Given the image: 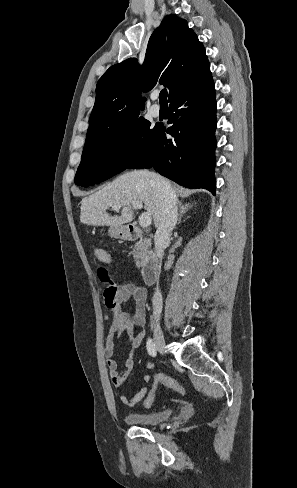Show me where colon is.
<instances>
[{
	"instance_id": "1",
	"label": "colon",
	"mask_w": 297,
	"mask_h": 488,
	"mask_svg": "<svg viewBox=\"0 0 297 488\" xmlns=\"http://www.w3.org/2000/svg\"><path fill=\"white\" fill-rule=\"evenodd\" d=\"M95 257L101 261L104 259L107 254L105 253V250H102L100 248L95 249L94 251ZM98 275L100 280L106 284V288L104 291V297H105V302L106 305L111 308L115 309L116 306V296H117V285L112 281L110 278V275L108 271L104 267H100L98 269ZM164 384L168 388L174 390L175 392L184 395L185 394V388L178 383L177 381L172 379V376L170 374H167L165 370H160L158 372V375L153 376V384H152V389L147 392V397L144 401V406L146 408H150L155 400V396H157L158 391L156 387L161 386V384Z\"/></svg>"
}]
</instances>
